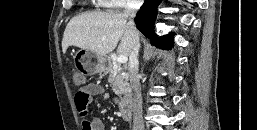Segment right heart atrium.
<instances>
[{"label": "right heart atrium", "instance_id": "1", "mask_svg": "<svg viewBox=\"0 0 257 130\" xmlns=\"http://www.w3.org/2000/svg\"><path fill=\"white\" fill-rule=\"evenodd\" d=\"M99 4L106 8H127L140 4L142 0H99Z\"/></svg>", "mask_w": 257, "mask_h": 130}]
</instances>
